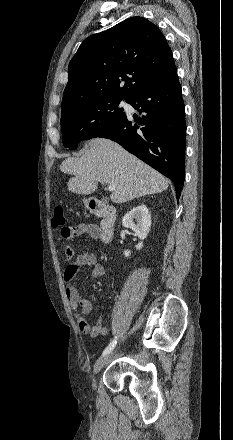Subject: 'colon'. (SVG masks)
<instances>
[{
    "label": "colon",
    "mask_w": 233,
    "mask_h": 440,
    "mask_svg": "<svg viewBox=\"0 0 233 440\" xmlns=\"http://www.w3.org/2000/svg\"><path fill=\"white\" fill-rule=\"evenodd\" d=\"M52 225L55 227H65L64 210L61 206L53 208Z\"/></svg>",
    "instance_id": "colon-1"
}]
</instances>
